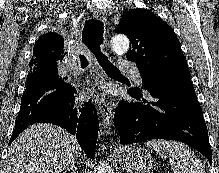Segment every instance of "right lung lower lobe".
Listing matches in <instances>:
<instances>
[{
	"mask_svg": "<svg viewBox=\"0 0 219 173\" xmlns=\"http://www.w3.org/2000/svg\"><path fill=\"white\" fill-rule=\"evenodd\" d=\"M76 94L72 85L55 74L28 75L9 144L31 124L53 123L75 135L84 152L94 158L99 128L97 112L90 101L80 104Z\"/></svg>",
	"mask_w": 219,
	"mask_h": 173,
	"instance_id": "right-lung-lower-lobe-1",
	"label": "right lung lower lobe"
}]
</instances>
